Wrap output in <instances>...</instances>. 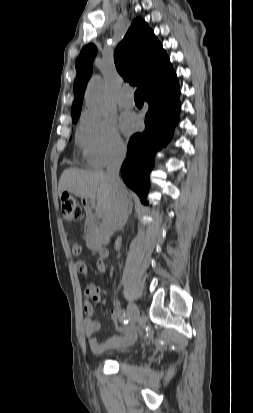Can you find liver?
<instances>
[{"label":"liver","mask_w":253,"mask_h":413,"mask_svg":"<svg viewBox=\"0 0 253 413\" xmlns=\"http://www.w3.org/2000/svg\"><path fill=\"white\" fill-rule=\"evenodd\" d=\"M65 191L80 198H96L98 208L105 214L113 200L112 185L103 171L64 170L58 183V194Z\"/></svg>","instance_id":"obj_1"}]
</instances>
